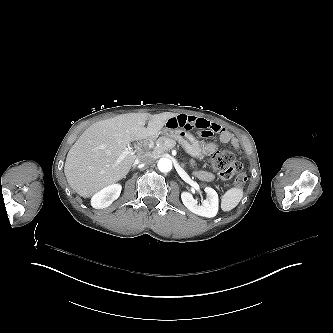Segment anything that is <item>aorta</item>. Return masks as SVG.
I'll return each mask as SVG.
<instances>
[{
    "mask_svg": "<svg viewBox=\"0 0 333 333\" xmlns=\"http://www.w3.org/2000/svg\"><path fill=\"white\" fill-rule=\"evenodd\" d=\"M157 166L162 173H167L172 169V161L168 158H161Z\"/></svg>",
    "mask_w": 333,
    "mask_h": 333,
    "instance_id": "1",
    "label": "aorta"
}]
</instances>
